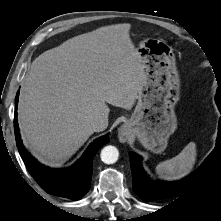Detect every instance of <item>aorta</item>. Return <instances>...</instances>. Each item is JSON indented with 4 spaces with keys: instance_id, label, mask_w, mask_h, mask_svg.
Returning a JSON list of instances; mask_svg holds the SVG:
<instances>
[{
    "instance_id": "762f6f07",
    "label": "aorta",
    "mask_w": 221,
    "mask_h": 221,
    "mask_svg": "<svg viewBox=\"0 0 221 221\" xmlns=\"http://www.w3.org/2000/svg\"><path fill=\"white\" fill-rule=\"evenodd\" d=\"M101 160L106 164H113L118 160L119 152L114 146H106L102 149L100 154Z\"/></svg>"
}]
</instances>
